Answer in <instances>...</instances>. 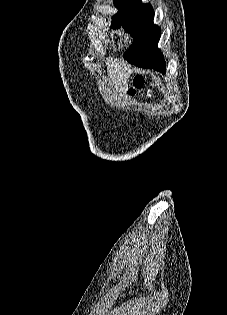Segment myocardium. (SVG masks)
I'll use <instances>...</instances> for the list:
<instances>
[{
    "mask_svg": "<svg viewBox=\"0 0 227 315\" xmlns=\"http://www.w3.org/2000/svg\"><path fill=\"white\" fill-rule=\"evenodd\" d=\"M125 41H126L127 43L131 41L129 35H126V36H125Z\"/></svg>",
    "mask_w": 227,
    "mask_h": 315,
    "instance_id": "f54148a6",
    "label": "myocardium"
}]
</instances>
